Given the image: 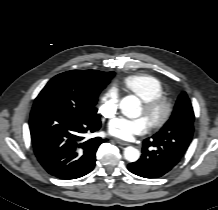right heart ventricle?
Instances as JSON below:
<instances>
[{
	"label": "right heart ventricle",
	"mask_w": 218,
	"mask_h": 210,
	"mask_svg": "<svg viewBox=\"0 0 218 210\" xmlns=\"http://www.w3.org/2000/svg\"><path fill=\"white\" fill-rule=\"evenodd\" d=\"M121 86L141 100L164 94V88L160 80L149 74L127 76L121 81Z\"/></svg>",
	"instance_id": "right-heart-ventricle-1"
}]
</instances>
